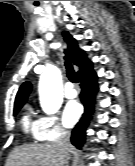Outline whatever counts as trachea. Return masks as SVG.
<instances>
[{
    "instance_id": "trachea-1",
    "label": "trachea",
    "mask_w": 135,
    "mask_h": 166,
    "mask_svg": "<svg viewBox=\"0 0 135 166\" xmlns=\"http://www.w3.org/2000/svg\"><path fill=\"white\" fill-rule=\"evenodd\" d=\"M64 60H65V67H66L67 77L69 78V80L71 82L78 83V78H77L76 72L73 69V66L71 64V61H70L69 56H68L66 51H65Z\"/></svg>"
}]
</instances>
